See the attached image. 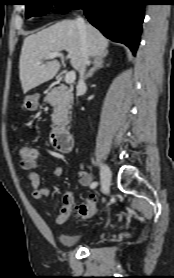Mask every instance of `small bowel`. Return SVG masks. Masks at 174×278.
<instances>
[{
  "label": "small bowel",
  "mask_w": 174,
  "mask_h": 278,
  "mask_svg": "<svg viewBox=\"0 0 174 278\" xmlns=\"http://www.w3.org/2000/svg\"><path fill=\"white\" fill-rule=\"evenodd\" d=\"M39 154L36 158L30 160H22L20 161L21 168L27 172V179L32 188L31 195L35 200H42L51 195V189L43 187L41 188L40 179L38 174L36 173V169L39 165ZM62 174V168L58 165H54L53 175L55 178H58ZM78 182L80 185L84 187L91 188L93 184V179L90 173L86 171H80L78 173ZM93 189V188H91ZM74 205V195L71 191H66L62 198V206L56 216L57 224H64L68 221L72 207Z\"/></svg>",
  "instance_id": "obj_1"
}]
</instances>
